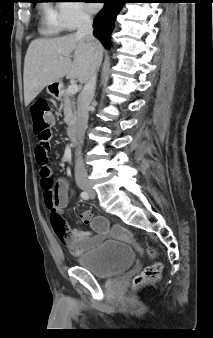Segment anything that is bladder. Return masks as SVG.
<instances>
[{"instance_id": "31cf9c89", "label": "bladder", "mask_w": 213, "mask_h": 338, "mask_svg": "<svg viewBox=\"0 0 213 338\" xmlns=\"http://www.w3.org/2000/svg\"><path fill=\"white\" fill-rule=\"evenodd\" d=\"M76 260L81 268L91 272L95 278L109 279L134 263V253L127 243L100 242Z\"/></svg>"}]
</instances>
